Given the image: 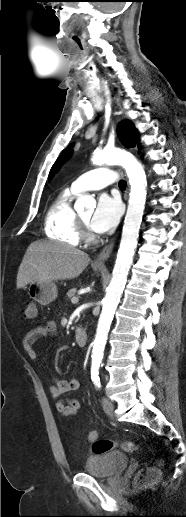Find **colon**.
Instances as JSON below:
<instances>
[{
	"label": "colon",
	"instance_id": "colon-1",
	"mask_svg": "<svg viewBox=\"0 0 186 517\" xmlns=\"http://www.w3.org/2000/svg\"><path fill=\"white\" fill-rule=\"evenodd\" d=\"M39 316L38 305L35 301H27L23 310V318L25 320H36ZM89 440L92 444V450L95 454H104L112 450H123L133 452L138 445L132 441H111L106 439L95 438L92 432L89 433ZM161 471L158 466H152L141 470L136 476V483L142 487L155 485L159 482Z\"/></svg>",
	"mask_w": 186,
	"mask_h": 517
}]
</instances>
